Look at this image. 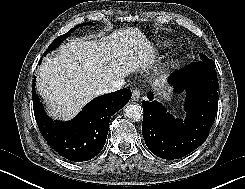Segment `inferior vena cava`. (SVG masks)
<instances>
[{
	"instance_id": "inferior-vena-cava-1",
	"label": "inferior vena cava",
	"mask_w": 245,
	"mask_h": 189,
	"mask_svg": "<svg viewBox=\"0 0 245 189\" xmlns=\"http://www.w3.org/2000/svg\"><path fill=\"white\" fill-rule=\"evenodd\" d=\"M124 83H125L124 80L114 81L111 85H109L108 87L104 88L102 90V93H110V92L117 91V90H119V89L122 88V86L124 85Z\"/></svg>"
}]
</instances>
